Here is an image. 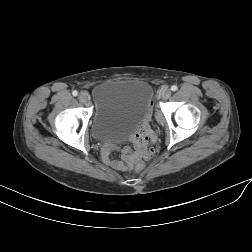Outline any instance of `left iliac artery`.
I'll return each mask as SVG.
<instances>
[{"mask_svg":"<svg viewBox=\"0 0 252 252\" xmlns=\"http://www.w3.org/2000/svg\"><path fill=\"white\" fill-rule=\"evenodd\" d=\"M171 90H172V91H177V90H178V87H177L176 85H172V86H171Z\"/></svg>","mask_w":252,"mask_h":252,"instance_id":"44dca946","label":"left iliac artery"}]
</instances>
